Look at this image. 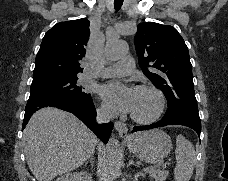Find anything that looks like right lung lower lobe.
Instances as JSON below:
<instances>
[{
	"instance_id": "right-lung-lower-lobe-1",
	"label": "right lung lower lobe",
	"mask_w": 228,
	"mask_h": 181,
	"mask_svg": "<svg viewBox=\"0 0 228 181\" xmlns=\"http://www.w3.org/2000/svg\"><path fill=\"white\" fill-rule=\"evenodd\" d=\"M44 107H56L77 116L98 138L106 143L111 135L113 123L99 125L96 122V110L93 101L77 102L60 97L45 96L29 98L23 120V128L34 112Z\"/></svg>"
}]
</instances>
